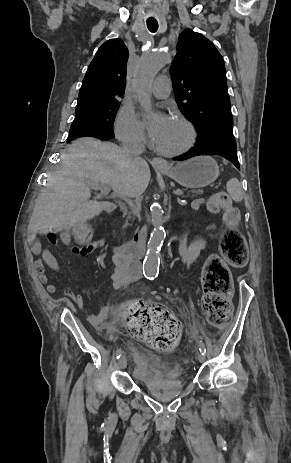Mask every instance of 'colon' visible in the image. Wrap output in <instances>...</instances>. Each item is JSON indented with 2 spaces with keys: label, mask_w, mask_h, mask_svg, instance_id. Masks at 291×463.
I'll return each mask as SVG.
<instances>
[{
  "label": "colon",
  "mask_w": 291,
  "mask_h": 463,
  "mask_svg": "<svg viewBox=\"0 0 291 463\" xmlns=\"http://www.w3.org/2000/svg\"><path fill=\"white\" fill-rule=\"evenodd\" d=\"M212 208H221L227 226L221 239L224 260L234 266H244L247 261L246 243L237 230L240 213L232 206L230 197L219 192L214 195ZM51 243H56L53 233L46 235ZM92 237V230L84 223H77L72 231V239L78 245H85ZM202 305L208 321L213 325L225 323L232 314L231 296L233 292L231 275L227 265L218 256H211L204 267L202 276ZM121 316L130 333L152 347L166 351L178 340L180 327L174 317L159 306L139 300L130 303L121 311Z\"/></svg>",
  "instance_id": "obj_1"
}]
</instances>
